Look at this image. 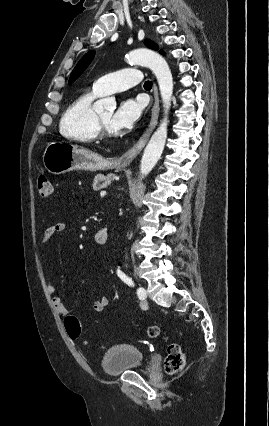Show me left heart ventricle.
Wrapping results in <instances>:
<instances>
[{
	"label": "left heart ventricle",
	"mask_w": 269,
	"mask_h": 426,
	"mask_svg": "<svg viewBox=\"0 0 269 426\" xmlns=\"http://www.w3.org/2000/svg\"><path fill=\"white\" fill-rule=\"evenodd\" d=\"M112 116H113V112L112 111H106V112H103V113L99 114V117L102 120V122L107 126V128L110 131L114 132L111 129V127H110V121H111Z\"/></svg>",
	"instance_id": "obj_1"
}]
</instances>
